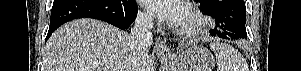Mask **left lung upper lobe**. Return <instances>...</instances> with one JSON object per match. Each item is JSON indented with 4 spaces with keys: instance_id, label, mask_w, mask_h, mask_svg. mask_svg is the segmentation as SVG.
<instances>
[{
    "instance_id": "1",
    "label": "left lung upper lobe",
    "mask_w": 301,
    "mask_h": 71,
    "mask_svg": "<svg viewBox=\"0 0 301 71\" xmlns=\"http://www.w3.org/2000/svg\"><path fill=\"white\" fill-rule=\"evenodd\" d=\"M196 2H200L201 3V7L203 9L208 8L209 5L212 3V1L214 0H195Z\"/></svg>"
}]
</instances>
